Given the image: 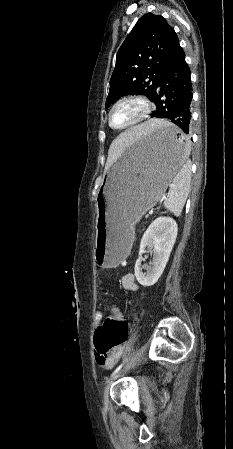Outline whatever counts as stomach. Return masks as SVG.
Returning <instances> with one entry per match:
<instances>
[{
  "label": "stomach",
  "mask_w": 233,
  "mask_h": 449,
  "mask_svg": "<svg viewBox=\"0 0 233 449\" xmlns=\"http://www.w3.org/2000/svg\"><path fill=\"white\" fill-rule=\"evenodd\" d=\"M187 137L171 123L135 142L107 172L98 196L95 260L119 265L134 240V227L164 195L187 158Z\"/></svg>",
  "instance_id": "obj_1"
}]
</instances>
